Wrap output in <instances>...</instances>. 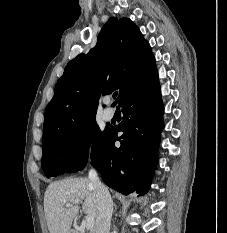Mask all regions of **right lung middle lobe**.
Returning a JSON list of instances; mask_svg holds the SVG:
<instances>
[{
	"label": "right lung middle lobe",
	"mask_w": 227,
	"mask_h": 233,
	"mask_svg": "<svg viewBox=\"0 0 227 233\" xmlns=\"http://www.w3.org/2000/svg\"><path fill=\"white\" fill-rule=\"evenodd\" d=\"M109 132L99 129L96 121H90L43 145L41 165L46 177L58 176L83 169L87 162L88 149L91 160Z\"/></svg>",
	"instance_id": "1"
}]
</instances>
